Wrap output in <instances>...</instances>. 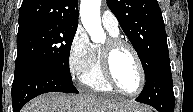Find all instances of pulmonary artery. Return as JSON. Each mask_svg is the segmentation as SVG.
Returning <instances> with one entry per match:
<instances>
[{"label": "pulmonary artery", "mask_w": 193, "mask_h": 112, "mask_svg": "<svg viewBox=\"0 0 193 112\" xmlns=\"http://www.w3.org/2000/svg\"><path fill=\"white\" fill-rule=\"evenodd\" d=\"M102 25L111 33H119V23L116 16L109 10H105L101 15Z\"/></svg>", "instance_id": "pulmonary-artery-1"}]
</instances>
